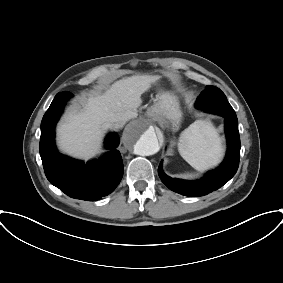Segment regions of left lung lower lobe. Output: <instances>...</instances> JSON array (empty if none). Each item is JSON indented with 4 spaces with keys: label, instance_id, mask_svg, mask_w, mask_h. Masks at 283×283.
I'll list each match as a JSON object with an SVG mask.
<instances>
[{
    "label": "left lung lower lobe",
    "instance_id": "1",
    "mask_svg": "<svg viewBox=\"0 0 283 283\" xmlns=\"http://www.w3.org/2000/svg\"><path fill=\"white\" fill-rule=\"evenodd\" d=\"M196 107L206 112L221 115L225 119L227 154L223 163L215 170L209 171L199 180L173 179L162 170V161L158 174L162 182L172 191L185 196L199 197L213 192L227 183L237 172L240 158V137L237 116L228 100H212L203 91L197 98Z\"/></svg>",
    "mask_w": 283,
    "mask_h": 283
}]
</instances>
